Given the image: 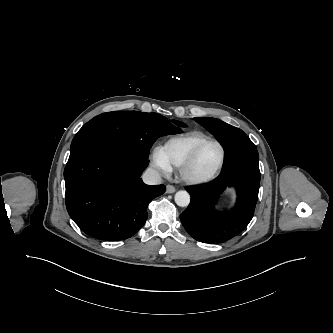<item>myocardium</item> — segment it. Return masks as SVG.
Listing matches in <instances>:
<instances>
[{"instance_id": "obj_1", "label": "myocardium", "mask_w": 333, "mask_h": 333, "mask_svg": "<svg viewBox=\"0 0 333 333\" xmlns=\"http://www.w3.org/2000/svg\"><path fill=\"white\" fill-rule=\"evenodd\" d=\"M209 143H214L219 147L220 152H221L219 161H218L217 165L214 167V169L207 175L195 176L192 174V167H193L201 149ZM225 157H226V151H225L223 144L219 140L209 137V138L201 141L200 143H198L196 145V147L192 150L190 155L187 157L185 162L180 167V176H181L182 180L189 185L206 184V183L210 182L211 180H213L216 177V175L220 172V170L223 167Z\"/></svg>"}]
</instances>
